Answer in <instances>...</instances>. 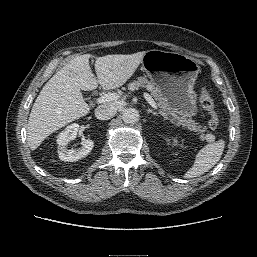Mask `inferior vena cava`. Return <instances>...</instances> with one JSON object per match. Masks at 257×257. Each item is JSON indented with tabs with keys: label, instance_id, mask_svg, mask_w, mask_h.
<instances>
[{
	"label": "inferior vena cava",
	"instance_id": "inferior-vena-cava-1",
	"mask_svg": "<svg viewBox=\"0 0 257 257\" xmlns=\"http://www.w3.org/2000/svg\"><path fill=\"white\" fill-rule=\"evenodd\" d=\"M118 108L115 103L100 105L95 109V116L99 120H109L116 114Z\"/></svg>",
	"mask_w": 257,
	"mask_h": 257
}]
</instances>
